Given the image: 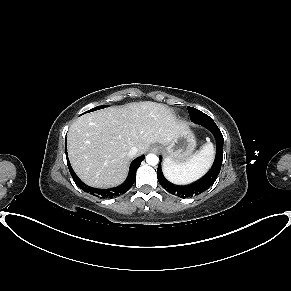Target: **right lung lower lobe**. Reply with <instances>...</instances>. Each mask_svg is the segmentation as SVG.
I'll use <instances>...</instances> for the list:
<instances>
[{"instance_id":"98d812e1","label":"right lung lower lobe","mask_w":291,"mask_h":291,"mask_svg":"<svg viewBox=\"0 0 291 291\" xmlns=\"http://www.w3.org/2000/svg\"><path fill=\"white\" fill-rule=\"evenodd\" d=\"M66 158H67V165L70 171V174L74 180V182L85 192L90 193L92 195H95L97 197L100 198H115L117 196H120L124 193H126L134 184L135 180H136V171L138 169V167L140 166L141 162L144 159V155L135 159L134 161H132L131 165H130V171L129 174L126 178V180L124 181L123 184H121L120 186L114 187V188H110V189H97V188H93L90 186H87L86 184H84L78 177L77 175L74 173L69 160H68V156H67V149H66Z\"/></svg>"}]
</instances>
